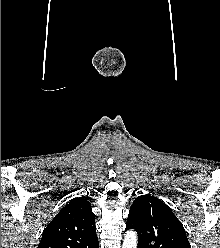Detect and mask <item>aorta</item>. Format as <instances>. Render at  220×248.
Returning a JSON list of instances; mask_svg holds the SVG:
<instances>
[{
  "instance_id": "762f6f07",
  "label": "aorta",
  "mask_w": 220,
  "mask_h": 248,
  "mask_svg": "<svg viewBox=\"0 0 220 248\" xmlns=\"http://www.w3.org/2000/svg\"><path fill=\"white\" fill-rule=\"evenodd\" d=\"M122 248H137V234L134 231L125 234Z\"/></svg>"
}]
</instances>
